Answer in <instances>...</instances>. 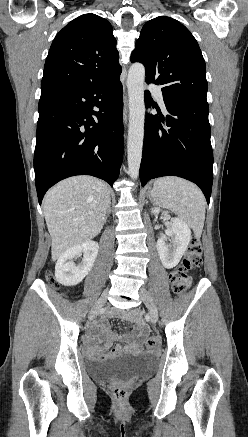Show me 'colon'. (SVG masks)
<instances>
[{"label":"colon","mask_w":248,"mask_h":437,"mask_svg":"<svg viewBox=\"0 0 248 437\" xmlns=\"http://www.w3.org/2000/svg\"><path fill=\"white\" fill-rule=\"evenodd\" d=\"M201 262V243L198 240L193 239L188 246L182 264L175 270H173L169 275L172 289L176 294L181 295L185 293L190 283V277L188 275V272L199 267L201 265ZM46 279L48 283L53 284V278L49 271L46 273ZM158 345L159 339L157 337H149L146 340L144 347L145 349L150 350L155 349ZM111 391L114 397L118 400H123L127 395L126 388L121 384H113L111 386Z\"/></svg>","instance_id":"obj_1"}]
</instances>
